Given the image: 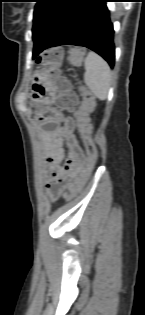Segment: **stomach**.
<instances>
[{"mask_svg":"<svg viewBox=\"0 0 145 315\" xmlns=\"http://www.w3.org/2000/svg\"><path fill=\"white\" fill-rule=\"evenodd\" d=\"M51 77V72H34L31 99L36 122H51V116L58 114L57 109H48L53 101L51 91L54 90V85L50 84Z\"/></svg>","mask_w":145,"mask_h":315,"instance_id":"obj_1","label":"stomach"}]
</instances>
